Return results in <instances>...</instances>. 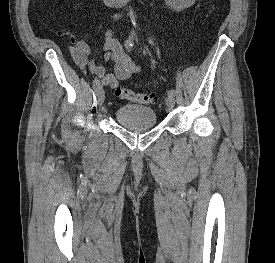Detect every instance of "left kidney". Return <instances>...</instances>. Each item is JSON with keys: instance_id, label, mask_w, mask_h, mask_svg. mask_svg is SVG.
Instances as JSON below:
<instances>
[{"instance_id": "5707ae66", "label": "left kidney", "mask_w": 275, "mask_h": 263, "mask_svg": "<svg viewBox=\"0 0 275 263\" xmlns=\"http://www.w3.org/2000/svg\"><path fill=\"white\" fill-rule=\"evenodd\" d=\"M165 2L174 10L182 11L190 7L195 2V0H165Z\"/></svg>"}]
</instances>
